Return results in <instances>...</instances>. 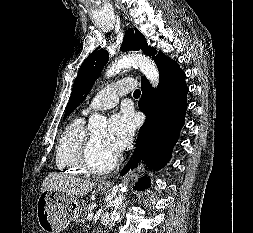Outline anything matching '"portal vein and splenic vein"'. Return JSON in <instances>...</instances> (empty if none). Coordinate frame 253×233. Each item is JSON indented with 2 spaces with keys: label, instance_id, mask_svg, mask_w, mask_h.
<instances>
[{
  "label": "portal vein and splenic vein",
  "instance_id": "1",
  "mask_svg": "<svg viewBox=\"0 0 253 233\" xmlns=\"http://www.w3.org/2000/svg\"><path fill=\"white\" fill-rule=\"evenodd\" d=\"M87 219L91 221L93 219V214H88Z\"/></svg>",
  "mask_w": 253,
  "mask_h": 233
}]
</instances>
